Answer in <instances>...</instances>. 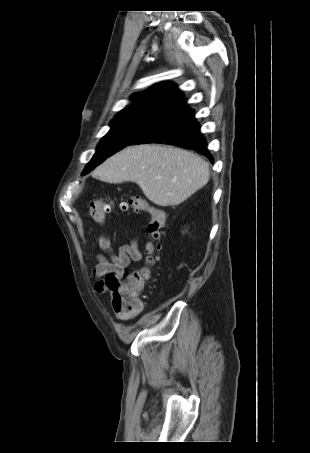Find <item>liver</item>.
I'll return each instance as SVG.
<instances>
[{
    "mask_svg": "<svg viewBox=\"0 0 310 453\" xmlns=\"http://www.w3.org/2000/svg\"><path fill=\"white\" fill-rule=\"evenodd\" d=\"M92 176L112 184L136 182L159 206L184 202L209 181V165L192 152L155 144L129 146L99 165Z\"/></svg>",
    "mask_w": 310,
    "mask_h": 453,
    "instance_id": "liver-1",
    "label": "liver"
}]
</instances>
